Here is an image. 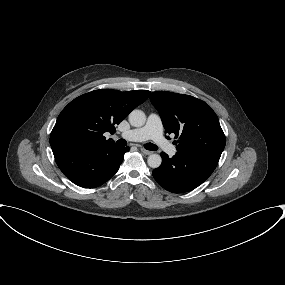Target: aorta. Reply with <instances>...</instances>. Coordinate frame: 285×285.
<instances>
[{
	"label": "aorta",
	"mask_w": 285,
	"mask_h": 285,
	"mask_svg": "<svg viewBox=\"0 0 285 285\" xmlns=\"http://www.w3.org/2000/svg\"><path fill=\"white\" fill-rule=\"evenodd\" d=\"M129 122L134 127H141L146 122V115L141 110H133L129 114ZM148 165L151 168H158L162 163V158L159 154H151L147 159Z\"/></svg>",
	"instance_id": "1"
}]
</instances>
